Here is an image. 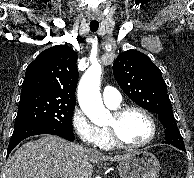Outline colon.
Listing matches in <instances>:
<instances>
[{
	"mask_svg": "<svg viewBox=\"0 0 194 178\" xmlns=\"http://www.w3.org/2000/svg\"><path fill=\"white\" fill-rule=\"evenodd\" d=\"M170 178H178L177 176H172V177H170Z\"/></svg>",
	"mask_w": 194,
	"mask_h": 178,
	"instance_id": "5ec220e1",
	"label": "colon"
}]
</instances>
